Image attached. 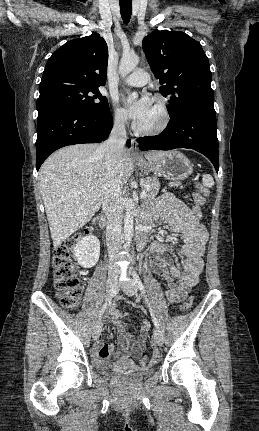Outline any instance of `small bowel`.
Segmentation results:
<instances>
[{
	"label": "small bowel",
	"mask_w": 259,
	"mask_h": 431,
	"mask_svg": "<svg viewBox=\"0 0 259 431\" xmlns=\"http://www.w3.org/2000/svg\"><path fill=\"white\" fill-rule=\"evenodd\" d=\"M152 214L157 222V228L161 230L164 226L171 229V238L165 242L160 236L151 246V257L148 267L151 271L162 275L167 290L165 296L170 303H178L185 299L192 287L198 281L202 273L204 262L203 255L208 239L205 227L193 217V210L183 202L175 199L172 194L162 195ZM180 237L183 245L177 250L180 260L179 265H175L168 256V252L175 248V241ZM110 314L118 329L119 339L116 351L112 344L98 341L96 344V360L100 364H107L113 359L120 362L130 363L139 359L145 349L146 339L150 330V324L143 320L140 327V334L134 338L126 330V325L122 321L127 313L112 307Z\"/></svg>",
	"instance_id": "obj_1"
}]
</instances>
